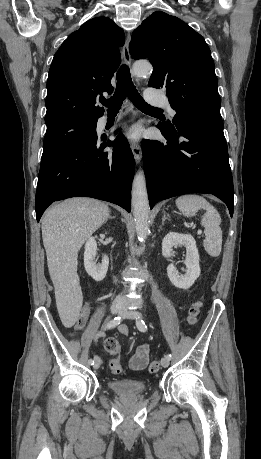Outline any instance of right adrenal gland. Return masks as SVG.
<instances>
[{"label":"right adrenal gland","instance_id":"obj_1","mask_svg":"<svg viewBox=\"0 0 261 459\" xmlns=\"http://www.w3.org/2000/svg\"><path fill=\"white\" fill-rule=\"evenodd\" d=\"M115 217L114 216H109L108 219H114Z\"/></svg>","mask_w":261,"mask_h":459}]
</instances>
